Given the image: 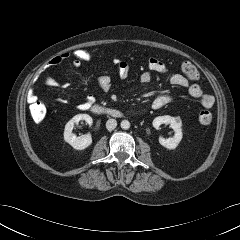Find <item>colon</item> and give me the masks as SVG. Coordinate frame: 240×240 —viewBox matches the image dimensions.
Instances as JSON below:
<instances>
[{"label":"colon","mask_w":240,"mask_h":240,"mask_svg":"<svg viewBox=\"0 0 240 240\" xmlns=\"http://www.w3.org/2000/svg\"><path fill=\"white\" fill-rule=\"evenodd\" d=\"M67 54L68 60L75 66L78 67L85 62L93 60L94 55L85 48H78L72 50ZM182 71L189 80H196L198 78V71L194 65L189 62L182 64ZM30 114L34 121L40 122L45 118L46 107L39 101L30 103L29 106ZM212 113L208 110H203L199 113L198 120L202 125H209L212 122Z\"/></svg>","instance_id":"5ec220e1"}]
</instances>
